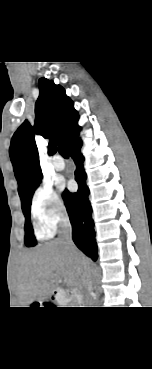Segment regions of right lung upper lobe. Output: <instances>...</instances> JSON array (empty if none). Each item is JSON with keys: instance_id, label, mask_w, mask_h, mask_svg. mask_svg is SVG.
<instances>
[{"instance_id": "1", "label": "right lung upper lobe", "mask_w": 152, "mask_h": 369, "mask_svg": "<svg viewBox=\"0 0 152 369\" xmlns=\"http://www.w3.org/2000/svg\"><path fill=\"white\" fill-rule=\"evenodd\" d=\"M39 88L35 125L32 127L26 120L14 133L9 149L21 201L42 179L35 133L50 138L48 154L52 155L58 143L63 142L68 148L80 132L78 113L65 90L45 78L39 80Z\"/></svg>"}]
</instances>
